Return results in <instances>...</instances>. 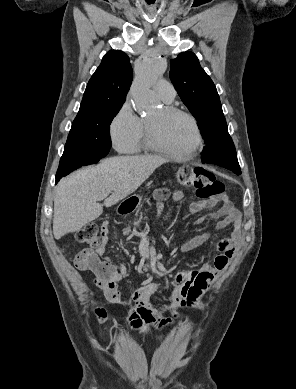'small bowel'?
Returning a JSON list of instances; mask_svg holds the SVG:
<instances>
[{
    "label": "small bowel",
    "instance_id": "c3829d8e",
    "mask_svg": "<svg viewBox=\"0 0 296 389\" xmlns=\"http://www.w3.org/2000/svg\"><path fill=\"white\" fill-rule=\"evenodd\" d=\"M168 197H171L175 202H180L183 199V194L178 190H170L166 187L159 188L155 192V198L159 202ZM159 206L160 203H158ZM207 207L209 205L206 202L199 201L192 203L189 210L195 213ZM213 218L218 220L217 229L233 225L230 237L218 243V254L212 262H206L198 269L182 271L175 275L172 287L168 292V296L174 305L172 317H161L151 307L152 298L161 290L159 285L149 283L138 287L132 294L134 307L130 310L127 319L134 330L146 334L151 329L162 330L171 326L179 317V310L194 306L203 293L210 288L217 275L226 268L229 260L242 242L240 213L224 197L222 206L213 214ZM202 220L200 219V221ZM208 236L207 233H204L193 237L181 245V250L188 251L198 247L208 239ZM102 239V245L97 249L80 251L75 258V264L80 270L92 271L95 275L94 283L103 291L107 301L117 304L121 300L117 284L127 276V271L124 266L103 259L109 243V226L107 223L102 227ZM78 258H82L84 263H79Z\"/></svg>",
    "mask_w": 296,
    "mask_h": 389
}]
</instances>
